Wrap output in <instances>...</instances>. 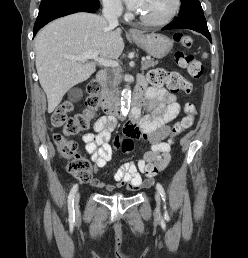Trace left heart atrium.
<instances>
[{
  "instance_id": "39dd6f15",
  "label": "left heart atrium",
  "mask_w": 248,
  "mask_h": 258,
  "mask_svg": "<svg viewBox=\"0 0 248 258\" xmlns=\"http://www.w3.org/2000/svg\"><path fill=\"white\" fill-rule=\"evenodd\" d=\"M143 0H127L128 6L134 11H139Z\"/></svg>"
}]
</instances>
